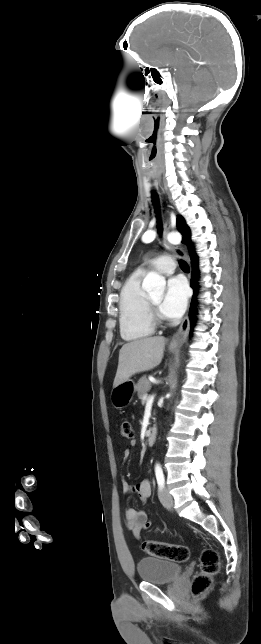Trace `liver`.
<instances>
[{
	"label": "liver",
	"mask_w": 261,
	"mask_h": 644,
	"mask_svg": "<svg viewBox=\"0 0 261 644\" xmlns=\"http://www.w3.org/2000/svg\"><path fill=\"white\" fill-rule=\"evenodd\" d=\"M164 337H148L122 346L113 387L128 380L131 376L149 371L158 366L163 358Z\"/></svg>",
	"instance_id": "liver-1"
}]
</instances>
